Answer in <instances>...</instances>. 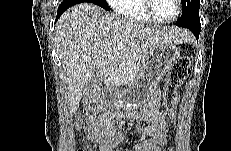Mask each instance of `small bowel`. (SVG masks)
Instances as JSON below:
<instances>
[{"mask_svg":"<svg viewBox=\"0 0 231 151\" xmlns=\"http://www.w3.org/2000/svg\"><path fill=\"white\" fill-rule=\"evenodd\" d=\"M160 91H156L149 102L131 118L139 123L141 140L134 146V151H161L167 143V122L161 112ZM117 116L110 114L91 115L87 118L85 132L98 151H114L124 141L123 132L116 127Z\"/></svg>","mask_w":231,"mask_h":151,"instance_id":"small-bowel-1","label":"small bowel"}]
</instances>
